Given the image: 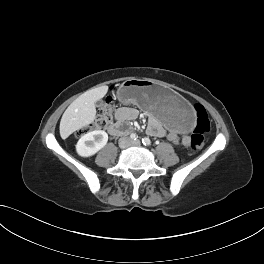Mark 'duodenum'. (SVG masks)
I'll return each mask as SVG.
<instances>
[{
    "label": "duodenum",
    "mask_w": 264,
    "mask_h": 264,
    "mask_svg": "<svg viewBox=\"0 0 264 264\" xmlns=\"http://www.w3.org/2000/svg\"><path fill=\"white\" fill-rule=\"evenodd\" d=\"M128 129H125L121 124L119 123H114V124H111L108 128V132L111 134V135H114V136H119V135H124L126 133H128Z\"/></svg>",
    "instance_id": "410a0bca"
}]
</instances>
